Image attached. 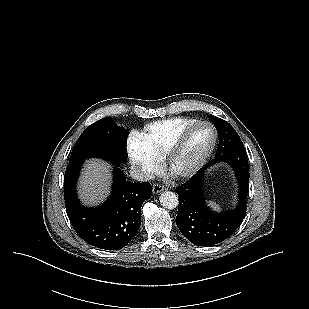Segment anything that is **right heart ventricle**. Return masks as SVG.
<instances>
[{
	"label": "right heart ventricle",
	"instance_id": "e07e8e85",
	"mask_svg": "<svg viewBox=\"0 0 309 309\" xmlns=\"http://www.w3.org/2000/svg\"><path fill=\"white\" fill-rule=\"evenodd\" d=\"M196 121L178 117L152 122L139 134L138 141L159 160L163 159L185 129Z\"/></svg>",
	"mask_w": 309,
	"mask_h": 309
}]
</instances>
